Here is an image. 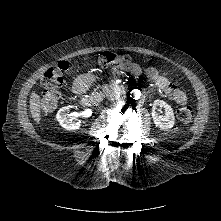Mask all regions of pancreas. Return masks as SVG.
Listing matches in <instances>:
<instances>
[{"instance_id":"1","label":"pancreas","mask_w":221,"mask_h":221,"mask_svg":"<svg viewBox=\"0 0 221 221\" xmlns=\"http://www.w3.org/2000/svg\"><path fill=\"white\" fill-rule=\"evenodd\" d=\"M105 89V91H109L110 89L109 88H112V85H109V86H104L103 87ZM95 96V94H93Z\"/></svg>"}]
</instances>
